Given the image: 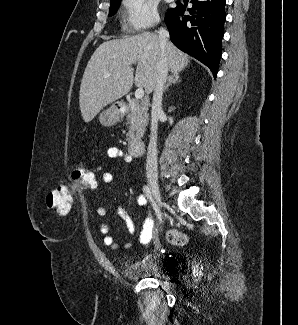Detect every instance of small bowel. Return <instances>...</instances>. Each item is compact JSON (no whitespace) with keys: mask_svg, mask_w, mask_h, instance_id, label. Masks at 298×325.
<instances>
[{"mask_svg":"<svg viewBox=\"0 0 298 325\" xmlns=\"http://www.w3.org/2000/svg\"><path fill=\"white\" fill-rule=\"evenodd\" d=\"M107 155L111 159H121L126 163H130L132 161V155L125 152L123 149L119 147H110L107 150ZM101 180L104 183H111L113 181V174L111 172H103L101 175ZM137 203L140 206L146 205V198L143 195L138 196ZM117 212L123 222L125 223V226L129 233H134L135 231V225L131 217L127 214L126 210L119 206L117 208ZM97 214L100 217H105L107 214V209L104 206L97 207ZM100 233L103 235V243L111 247L112 249H117L118 244L115 242L114 238L110 235V225L106 222L102 223L99 227ZM154 232V223L151 218H146L143 223L142 231L140 233L139 241L142 244H148L153 237ZM126 247L129 246V244L125 245Z\"/></svg>","mask_w":298,"mask_h":325,"instance_id":"small-bowel-1","label":"small bowel"}]
</instances>
